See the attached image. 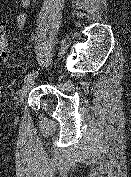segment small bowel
<instances>
[{
    "label": "small bowel",
    "instance_id": "small-bowel-1",
    "mask_svg": "<svg viewBox=\"0 0 131 177\" xmlns=\"http://www.w3.org/2000/svg\"><path fill=\"white\" fill-rule=\"evenodd\" d=\"M3 1V0H0V2ZM20 5L24 8L28 7L31 3V0H18ZM26 20H27V15L26 13H20L17 17H16V26H17V29L19 31L23 30L24 26H25V23H26Z\"/></svg>",
    "mask_w": 131,
    "mask_h": 177
}]
</instances>
